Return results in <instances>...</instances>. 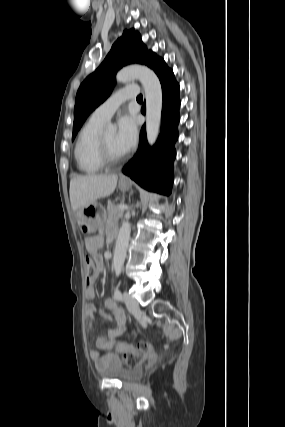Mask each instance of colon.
Instances as JSON below:
<instances>
[{
	"label": "colon",
	"mask_w": 285,
	"mask_h": 427,
	"mask_svg": "<svg viewBox=\"0 0 285 427\" xmlns=\"http://www.w3.org/2000/svg\"><path fill=\"white\" fill-rule=\"evenodd\" d=\"M86 264V283L91 285L93 283L96 268L94 261L87 257L85 260ZM118 351L123 355L124 362L127 366L132 367L141 363L147 358L152 351L151 345L148 342H141L136 346H131L126 343H119L117 345Z\"/></svg>",
	"instance_id": "colon-1"
}]
</instances>
